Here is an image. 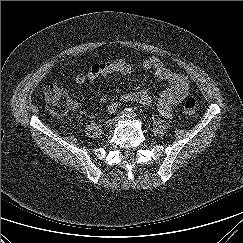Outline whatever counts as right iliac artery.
<instances>
[{
	"instance_id": "1",
	"label": "right iliac artery",
	"mask_w": 243,
	"mask_h": 243,
	"mask_svg": "<svg viewBox=\"0 0 243 243\" xmlns=\"http://www.w3.org/2000/svg\"><path fill=\"white\" fill-rule=\"evenodd\" d=\"M128 114H129V109H125V110H122V111L119 113V116H120L121 118H125V117L128 116Z\"/></svg>"
}]
</instances>
